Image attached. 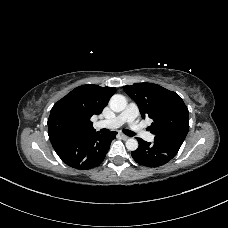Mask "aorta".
<instances>
[{"mask_svg":"<svg viewBox=\"0 0 228 228\" xmlns=\"http://www.w3.org/2000/svg\"><path fill=\"white\" fill-rule=\"evenodd\" d=\"M109 106L114 112H121L127 106V100L123 95L115 94L109 101ZM126 148L130 151H135L138 148V141L134 138H129L126 141Z\"/></svg>","mask_w":228,"mask_h":228,"instance_id":"aorta-1","label":"aorta"}]
</instances>
